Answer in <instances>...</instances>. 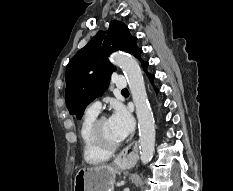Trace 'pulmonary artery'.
I'll list each match as a JSON object with an SVG mask.
<instances>
[{
  "mask_svg": "<svg viewBox=\"0 0 233 191\" xmlns=\"http://www.w3.org/2000/svg\"><path fill=\"white\" fill-rule=\"evenodd\" d=\"M112 84L114 87H116L117 89H123L126 88L127 86V81L126 78L122 75L119 76H115L113 78ZM101 108V103L98 100L93 101L92 103H90V105L88 106V111L91 112H95L98 113L100 111Z\"/></svg>",
  "mask_w": 233,
  "mask_h": 191,
  "instance_id": "1",
  "label": "pulmonary artery"
}]
</instances>
